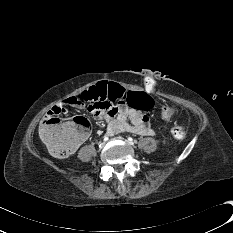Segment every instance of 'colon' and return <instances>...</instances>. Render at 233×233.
Segmentation results:
<instances>
[{
  "mask_svg": "<svg viewBox=\"0 0 233 233\" xmlns=\"http://www.w3.org/2000/svg\"><path fill=\"white\" fill-rule=\"evenodd\" d=\"M80 103L87 105L92 103H100L107 99L111 103H119L123 101L125 107H132L139 110H149L152 102L147 95L138 90H127V88L119 84L114 79H107L104 82H97L92 88L82 92L76 97ZM104 106H107L105 104ZM176 110L173 106H163L161 109L162 119H169L175 114ZM57 114L49 115L44 118L41 123L39 133L42 140L49 147L51 152L59 157L66 158L72 155L77 145L82 142L90 131V124L85 118H74L69 122H62ZM173 138L183 140L187 132L182 126H174L171 128Z\"/></svg>",
  "mask_w": 233,
  "mask_h": 233,
  "instance_id": "1",
  "label": "colon"
}]
</instances>
